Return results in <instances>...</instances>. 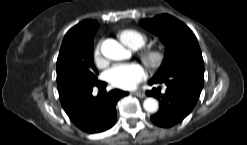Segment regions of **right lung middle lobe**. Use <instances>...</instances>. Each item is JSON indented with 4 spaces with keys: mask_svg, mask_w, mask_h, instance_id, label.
Listing matches in <instances>:
<instances>
[{
    "mask_svg": "<svg viewBox=\"0 0 247 145\" xmlns=\"http://www.w3.org/2000/svg\"><path fill=\"white\" fill-rule=\"evenodd\" d=\"M92 53V42L73 37L63 40L57 59L59 94L78 85H91L98 81Z\"/></svg>",
    "mask_w": 247,
    "mask_h": 145,
    "instance_id": "obj_1",
    "label": "right lung middle lobe"
}]
</instances>
